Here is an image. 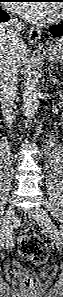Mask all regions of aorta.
Returning <instances> with one entry per match:
<instances>
[{
    "label": "aorta",
    "mask_w": 63,
    "mask_h": 297,
    "mask_svg": "<svg viewBox=\"0 0 63 297\" xmlns=\"http://www.w3.org/2000/svg\"><path fill=\"white\" fill-rule=\"evenodd\" d=\"M38 69L31 68L28 72L25 91L23 95V109L27 120L34 117L39 106V80Z\"/></svg>",
    "instance_id": "1"
}]
</instances>
